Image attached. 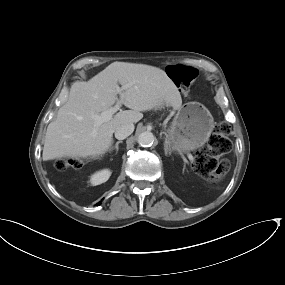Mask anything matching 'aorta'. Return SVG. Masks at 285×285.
<instances>
[{"mask_svg": "<svg viewBox=\"0 0 285 285\" xmlns=\"http://www.w3.org/2000/svg\"><path fill=\"white\" fill-rule=\"evenodd\" d=\"M155 136L153 135V133L149 132V131H145L142 132L139 136H138V143L140 146L142 147H150L154 144L155 142Z\"/></svg>", "mask_w": 285, "mask_h": 285, "instance_id": "762f6f07", "label": "aorta"}]
</instances>
